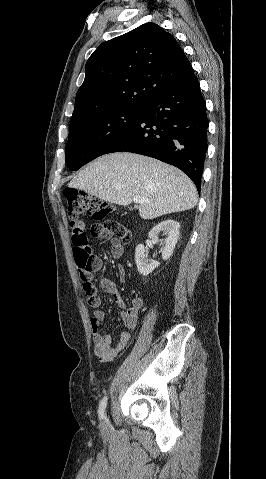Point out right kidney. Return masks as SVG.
Returning <instances> with one entry per match:
<instances>
[{
    "instance_id": "right-kidney-1",
    "label": "right kidney",
    "mask_w": 266,
    "mask_h": 479,
    "mask_svg": "<svg viewBox=\"0 0 266 479\" xmlns=\"http://www.w3.org/2000/svg\"><path fill=\"white\" fill-rule=\"evenodd\" d=\"M180 224L175 220H165L154 226L149 232V238L160 242L162 245V259L167 260L173 254L179 237ZM163 232L165 239L159 240V234ZM135 262L139 273L143 276L150 274L160 263L157 261L149 262L145 251V246L139 244L135 250Z\"/></svg>"
}]
</instances>
